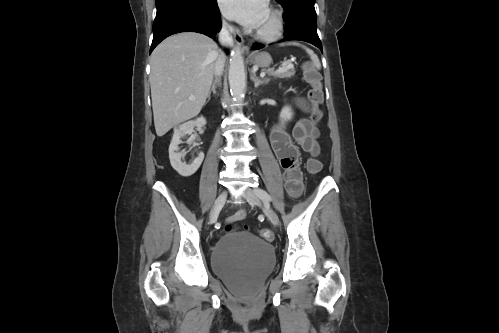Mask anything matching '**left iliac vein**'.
Listing matches in <instances>:
<instances>
[{"label":"left iliac vein","mask_w":499,"mask_h":333,"mask_svg":"<svg viewBox=\"0 0 499 333\" xmlns=\"http://www.w3.org/2000/svg\"><path fill=\"white\" fill-rule=\"evenodd\" d=\"M244 197L251 205L261 207L265 215L274 225H279V217L277 213L270 207L268 203H263L253 189H246L244 192Z\"/></svg>","instance_id":"1"}]
</instances>
